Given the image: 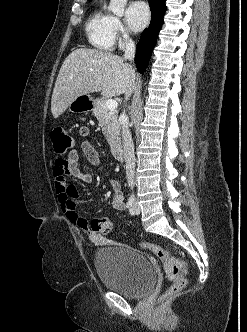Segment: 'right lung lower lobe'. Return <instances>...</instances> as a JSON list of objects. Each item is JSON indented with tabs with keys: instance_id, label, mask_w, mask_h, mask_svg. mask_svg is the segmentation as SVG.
<instances>
[{
	"instance_id": "1",
	"label": "right lung lower lobe",
	"mask_w": 247,
	"mask_h": 332,
	"mask_svg": "<svg viewBox=\"0 0 247 332\" xmlns=\"http://www.w3.org/2000/svg\"><path fill=\"white\" fill-rule=\"evenodd\" d=\"M166 0H149L151 9V22L148 29L142 32L137 44L135 56L136 67L140 73H143L148 65L152 50L163 24V17L166 11Z\"/></svg>"
}]
</instances>
